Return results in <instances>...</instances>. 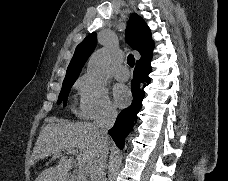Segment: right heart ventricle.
I'll return each instance as SVG.
<instances>
[{
    "mask_svg": "<svg viewBox=\"0 0 228 181\" xmlns=\"http://www.w3.org/2000/svg\"><path fill=\"white\" fill-rule=\"evenodd\" d=\"M79 85H80V81H77L74 86L77 87Z\"/></svg>",
    "mask_w": 228,
    "mask_h": 181,
    "instance_id": "e07e8e85",
    "label": "right heart ventricle"
}]
</instances>
